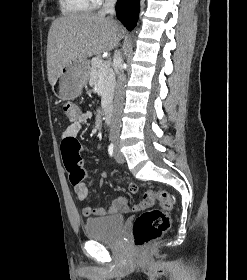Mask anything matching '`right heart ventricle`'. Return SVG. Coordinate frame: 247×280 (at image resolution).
Returning a JSON list of instances; mask_svg holds the SVG:
<instances>
[{
  "instance_id": "right-heart-ventricle-1",
  "label": "right heart ventricle",
  "mask_w": 247,
  "mask_h": 280,
  "mask_svg": "<svg viewBox=\"0 0 247 280\" xmlns=\"http://www.w3.org/2000/svg\"><path fill=\"white\" fill-rule=\"evenodd\" d=\"M93 7L92 0H60L61 12L67 16L86 13Z\"/></svg>"
}]
</instances>
